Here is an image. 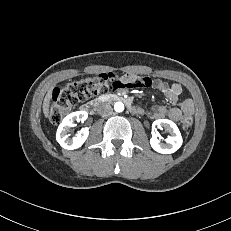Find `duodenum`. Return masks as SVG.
Here are the masks:
<instances>
[{
	"mask_svg": "<svg viewBox=\"0 0 231 231\" xmlns=\"http://www.w3.org/2000/svg\"><path fill=\"white\" fill-rule=\"evenodd\" d=\"M105 101H121V102L125 103L127 106H129L133 111L139 110L136 106L133 105V100L130 97L122 95V94L105 95L96 101L85 104L82 107V110L85 111L86 113H88L89 115H92L95 113L98 105L101 102H105Z\"/></svg>",
	"mask_w": 231,
	"mask_h": 231,
	"instance_id": "410a0bca",
	"label": "duodenum"
}]
</instances>
